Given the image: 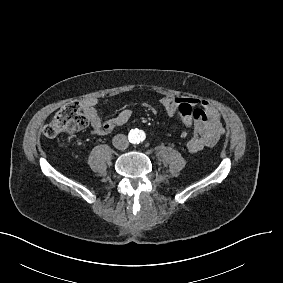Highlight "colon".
<instances>
[{
    "instance_id": "obj_1",
    "label": "colon",
    "mask_w": 283,
    "mask_h": 283,
    "mask_svg": "<svg viewBox=\"0 0 283 283\" xmlns=\"http://www.w3.org/2000/svg\"><path fill=\"white\" fill-rule=\"evenodd\" d=\"M180 120L185 123L189 131L195 127L192 120V106L189 103H181ZM86 109L80 102H72L59 109L53 116L51 122L43 129V137L51 140L65 135L74 134L87 128L89 118L85 115Z\"/></svg>"
}]
</instances>
